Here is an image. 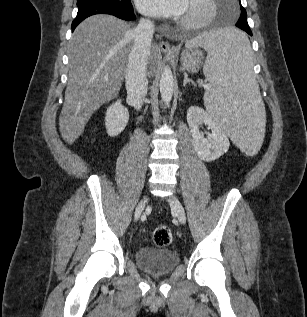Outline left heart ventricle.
Instances as JSON below:
<instances>
[{"mask_svg": "<svg viewBox=\"0 0 307 317\" xmlns=\"http://www.w3.org/2000/svg\"><path fill=\"white\" fill-rule=\"evenodd\" d=\"M199 12H200V9H199L198 6H196V5H191V4L189 3V5H188V7H187V9H186V11H185V13H184V16H196V15L199 14ZM184 16H183V17H184Z\"/></svg>", "mask_w": 307, "mask_h": 317, "instance_id": "obj_1", "label": "left heart ventricle"}]
</instances>
